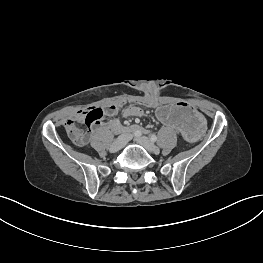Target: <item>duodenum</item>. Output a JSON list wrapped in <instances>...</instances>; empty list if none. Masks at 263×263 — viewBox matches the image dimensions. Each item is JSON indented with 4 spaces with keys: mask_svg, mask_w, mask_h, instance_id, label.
I'll use <instances>...</instances> for the list:
<instances>
[{
    "mask_svg": "<svg viewBox=\"0 0 263 263\" xmlns=\"http://www.w3.org/2000/svg\"><path fill=\"white\" fill-rule=\"evenodd\" d=\"M109 127L111 129H114V130H120L121 132H132L134 130H140L141 129L138 125H132V126H128V127H123V126H120L116 122L111 123Z\"/></svg>",
    "mask_w": 263,
    "mask_h": 263,
    "instance_id": "1",
    "label": "duodenum"
}]
</instances>
